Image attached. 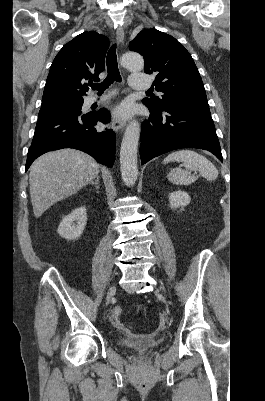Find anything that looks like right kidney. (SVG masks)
<instances>
[{"instance_id":"obj_1","label":"right kidney","mask_w":265,"mask_h":401,"mask_svg":"<svg viewBox=\"0 0 265 401\" xmlns=\"http://www.w3.org/2000/svg\"><path fill=\"white\" fill-rule=\"evenodd\" d=\"M87 221V211L85 207H78L75 211H72L70 215L64 217L63 221H61L58 227V235L60 237H64V239H69V241H73V239H78L81 237Z\"/></svg>"}]
</instances>
